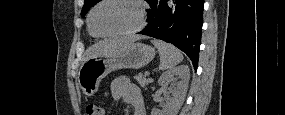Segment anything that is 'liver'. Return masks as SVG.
Segmentation results:
<instances>
[{
	"label": "liver",
	"mask_w": 285,
	"mask_h": 115,
	"mask_svg": "<svg viewBox=\"0 0 285 115\" xmlns=\"http://www.w3.org/2000/svg\"><path fill=\"white\" fill-rule=\"evenodd\" d=\"M135 40L136 38L123 37L119 39L101 41L91 48L84 61H87L90 58L115 54L127 47L129 44L133 43Z\"/></svg>",
	"instance_id": "6515ba94"
}]
</instances>
